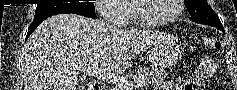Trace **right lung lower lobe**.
Listing matches in <instances>:
<instances>
[{
    "instance_id": "1",
    "label": "right lung lower lobe",
    "mask_w": 237,
    "mask_h": 90,
    "mask_svg": "<svg viewBox=\"0 0 237 90\" xmlns=\"http://www.w3.org/2000/svg\"><path fill=\"white\" fill-rule=\"evenodd\" d=\"M66 13H74V14H79V15L85 16V17L96 18V15H95L94 13L86 12V11H69V12H66ZM46 18H48V17L41 18V19H38V20H34V21L31 23V25H30L29 28H28V32H27L26 39H27V38L30 36V34L38 27V25H39L43 20H45Z\"/></svg>"
}]
</instances>
